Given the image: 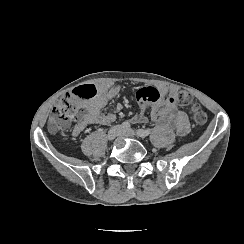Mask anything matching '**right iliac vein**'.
I'll return each mask as SVG.
<instances>
[{
  "label": "right iliac vein",
  "mask_w": 244,
  "mask_h": 244,
  "mask_svg": "<svg viewBox=\"0 0 244 244\" xmlns=\"http://www.w3.org/2000/svg\"><path fill=\"white\" fill-rule=\"evenodd\" d=\"M121 131H122L121 126H119V125L113 126L107 134V139L110 141L114 140L117 136L120 135Z\"/></svg>",
  "instance_id": "obj_1"
}]
</instances>
